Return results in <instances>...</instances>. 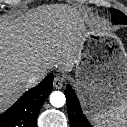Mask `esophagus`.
Returning <instances> with one entry per match:
<instances>
[{
    "mask_svg": "<svg viewBox=\"0 0 127 127\" xmlns=\"http://www.w3.org/2000/svg\"><path fill=\"white\" fill-rule=\"evenodd\" d=\"M53 85L56 89H61L64 85V77L62 75H57L54 78Z\"/></svg>",
    "mask_w": 127,
    "mask_h": 127,
    "instance_id": "34e87169",
    "label": "esophagus"
}]
</instances>
